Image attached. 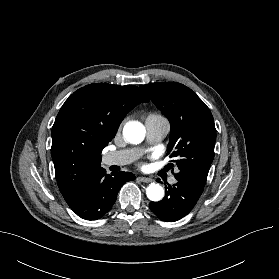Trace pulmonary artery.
Listing matches in <instances>:
<instances>
[{"label": "pulmonary artery", "mask_w": 279, "mask_h": 279, "mask_svg": "<svg viewBox=\"0 0 279 279\" xmlns=\"http://www.w3.org/2000/svg\"><path fill=\"white\" fill-rule=\"evenodd\" d=\"M147 141L150 144L158 143L168 134L170 124L164 117L161 118H148L145 121ZM141 153L140 149H127L120 150L106 154L103 157V164L105 166L112 165H125L136 159ZM171 184L176 183L174 176L170 177Z\"/></svg>", "instance_id": "e3ab8cb5"}]
</instances>
